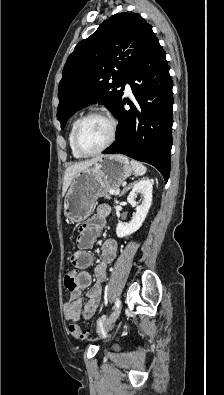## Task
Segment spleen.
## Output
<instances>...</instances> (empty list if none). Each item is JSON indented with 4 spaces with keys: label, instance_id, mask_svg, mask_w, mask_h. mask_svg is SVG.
<instances>
[{
    "label": "spleen",
    "instance_id": "obj_1",
    "mask_svg": "<svg viewBox=\"0 0 224 395\" xmlns=\"http://www.w3.org/2000/svg\"><path fill=\"white\" fill-rule=\"evenodd\" d=\"M131 166L136 176H142L147 171V168L142 163L135 160H131Z\"/></svg>",
    "mask_w": 224,
    "mask_h": 395
}]
</instances>
